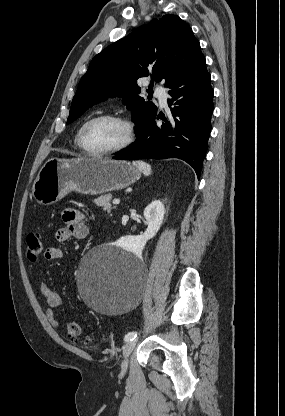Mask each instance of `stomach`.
Segmentation results:
<instances>
[{"label":"stomach","mask_w":285,"mask_h":416,"mask_svg":"<svg viewBox=\"0 0 285 416\" xmlns=\"http://www.w3.org/2000/svg\"><path fill=\"white\" fill-rule=\"evenodd\" d=\"M141 178V172L125 160L108 158H51L41 168L33 186L32 196L38 204L50 206L69 192L106 194L123 190Z\"/></svg>","instance_id":"stomach-1"}]
</instances>
